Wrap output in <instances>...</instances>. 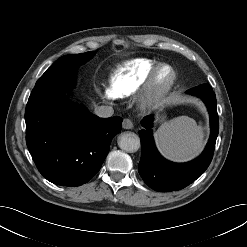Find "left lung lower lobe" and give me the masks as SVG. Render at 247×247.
Wrapping results in <instances>:
<instances>
[{
  "mask_svg": "<svg viewBox=\"0 0 247 247\" xmlns=\"http://www.w3.org/2000/svg\"><path fill=\"white\" fill-rule=\"evenodd\" d=\"M187 93L200 97L205 102L210 114V139L205 150L197 159L180 164L164 159L158 153L152 138V115L144 117L141 121V125L145 129L139 131L142 149L138 171L144 182L159 192L180 190L188 186L204 173L213 157L219 131L215 93L209 84L191 88Z\"/></svg>",
  "mask_w": 247,
  "mask_h": 247,
  "instance_id": "obj_1",
  "label": "left lung lower lobe"
}]
</instances>
